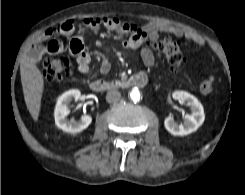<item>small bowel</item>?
Returning <instances> with one entry per match:
<instances>
[{
	"instance_id": "c3829d8e",
	"label": "small bowel",
	"mask_w": 245,
	"mask_h": 195,
	"mask_svg": "<svg viewBox=\"0 0 245 195\" xmlns=\"http://www.w3.org/2000/svg\"><path fill=\"white\" fill-rule=\"evenodd\" d=\"M86 28L97 31L101 28L109 30L122 38L123 45L129 50H139L143 63L147 67L158 65L160 52L154 53L148 44L157 40L160 32H169L176 36L184 37L199 46L205 44L202 35L193 30L183 29L177 26H170L157 22H149L142 27H137L133 23L121 20L116 17L89 18L84 21ZM58 32L62 35H71L75 31L72 21H64L58 25ZM52 29H46L30 49V58L33 61L39 60L45 53L58 54L63 49V42L58 39L50 40ZM48 41L47 45L44 42ZM70 52L76 57L78 70L81 74L91 77L90 65L93 59H97L102 74L110 71V63L107 59L99 54H91L84 48L83 41L80 37H73L69 43ZM214 77L211 76L200 85L202 93H209L212 90Z\"/></svg>"
}]
</instances>
